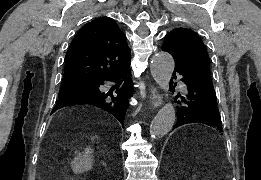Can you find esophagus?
<instances>
[{
    "instance_id": "34e87169",
    "label": "esophagus",
    "mask_w": 261,
    "mask_h": 180,
    "mask_svg": "<svg viewBox=\"0 0 261 180\" xmlns=\"http://www.w3.org/2000/svg\"><path fill=\"white\" fill-rule=\"evenodd\" d=\"M149 92H150V103L154 106V107H159L162 104V96L161 94L158 92V90L156 89L155 86H150L149 87Z\"/></svg>"
}]
</instances>
